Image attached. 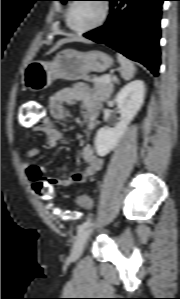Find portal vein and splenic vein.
<instances>
[{"instance_id":"portal-vein-and-splenic-vein-1","label":"portal vein and splenic vein","mask_w":180,"mask_h":299,"mask_svg":"<svg viewBox=\"0 0 180 299\" xmlns=\"http://www.w3.org/2000/svg\"><path fill=\"white\" fill-rule=\"evenodd\" d=\"M111 80H112V79H111V76H110V75H107V76H106V82L111 83Z\"/></svg>"}]
</instances>
